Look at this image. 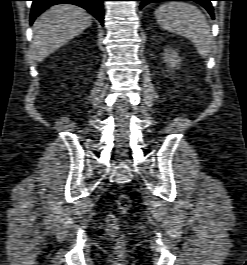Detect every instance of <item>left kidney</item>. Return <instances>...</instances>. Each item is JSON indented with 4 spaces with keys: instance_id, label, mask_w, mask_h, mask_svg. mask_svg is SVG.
I'll use <instances>...</instances> for the list:
<instances>
[{
    "instance_id": "1",
    "label": "left kidney",
    "mask_w": 247,
    "mask_h": 265,
    "mask_svg": "<svg viewBox=\"0 0 247 265\" xmlns=\"http://www.w3.org/2000/svg\"><path fill=\"white\" fill-rule=\"evenodd\" d=\"M164 56L168 71L173 72L175 68L178 69L181 59L176 51L173 49H165Z\"/></svg>"
}]
</instances>
